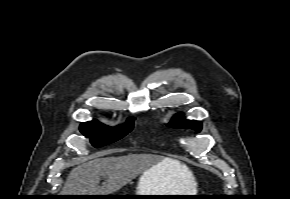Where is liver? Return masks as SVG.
Segmentation results:
<instances>
[{
    "label": "liver",
    "instance_id": "1",
    "mask_svg": "<svg viewBox=\"0 0 290 199\" xmlns=\"http://www.w3.org/2000/svg\"><path fill=\"white\" fill-rule=\"evenodd\" d=\"M159 177H167L171 192H192L194 178L187 166L171 158L159 159L150 154H129L95 158L75 167L68 175L62 195H110L152 166ZM104 181L98 186L100 179Z\"/></svg>",
    "mask_w": 290,
    "mask_h": 199
}]
</instances>
